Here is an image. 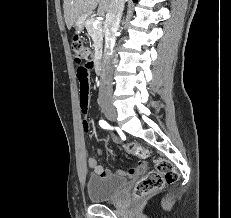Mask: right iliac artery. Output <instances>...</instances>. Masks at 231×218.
Wrapping results in <instances>:
<instances>
[{"instance_id": "obj_1", "label": "right iliac artery", "mask_w": 231, "mask_h": 218, "mask_svg": "<svg viewBox=\"0 0 231 218\" xmlns=\"http://www.w3.org/2000/svg\"><path fill=\"white\" fill-rule=\"evenodd\" d=\"M99 125L104 129H112V127L104 120H100Z\"/></svg>"}]
</instances>
